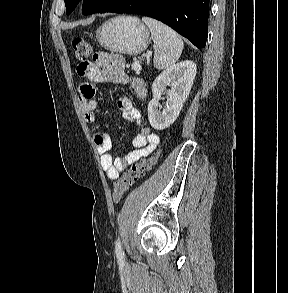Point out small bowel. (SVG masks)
I'll list each match as a JSON object with an SVG mask.
<instances>
[{
	"label": "small bowel",
	"instance_id": "small-bowel-1",
	"mask_svg": "<svg viewBox=\"0 0 288 293\" xmlns=\"http://www.w3.org/2000/svg\"><path fill=\"white\" fill-rule=\"evenodd\" d=\"M79 76L99 84L129 85L139 99L147 96V88L142 79L129 77L125 72V62L120 55L99 52L92 62L80 63L77 67ZM79 103L86 122L94 123L97 100L95 89L91 83H83L79 88ZM117 106L125 120L132 123L138 130L133 138L134 150L114 158L110 153L112 140L110 136L98 131L93 135V141L100 156V164L109 180H116L119 174L139 159L148 156L158 145L159 136L143 124L140 111L132 101L125 96H117Z\"/></svg>",
	"mask_w": 288,
	"mask_h": 293
}]
</instances>
